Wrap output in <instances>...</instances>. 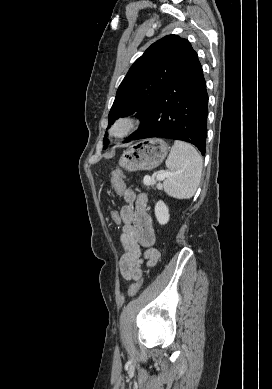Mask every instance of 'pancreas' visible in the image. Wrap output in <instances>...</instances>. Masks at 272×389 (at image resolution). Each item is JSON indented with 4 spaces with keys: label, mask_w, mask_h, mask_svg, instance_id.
I'll use <instances>...</instances> for the list:
<instances>
[{
    "label": "pancreas",
    "mask_w": 272,
    "mask_h": 389,
    "mask_svg": "<svg viewBox=\"0 0 272 389\" xmlns=\"http://www.w3.org/2000/svg\"><path fill=\"white\" fill-rule=\"evenodd\" d=\"M149 177V176H148ZM151 178V177H150ZM155 183V181H154V179L153 178H151V183L150 184H146L145 182H144V184L145 185H147V186H149V185H153Z\"/></svg>",
    "instance_id": "cf45deb5"
}]
</instances>
